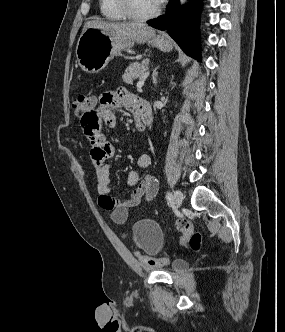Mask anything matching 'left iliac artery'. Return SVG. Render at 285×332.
Returning <instances> with one entry per match:
<instances>
[{
  "label": "left iliac artery",
  "mask_w": 285,
  "mask_h": 332,
  "mask_svg": "<svg viewBox=\"0 0 285 332\" xmlns=\"http://www.w3.org/2000/svg\"><path fill=\"white\" fill-rule=\"evenodd\" d=\"M166 199H167V203L169 206H172L174 201H173V197L172 194L170 192H167L166 194Z\"/></svg>",
  "instance_id": "44dca946"
}]
</instances>
